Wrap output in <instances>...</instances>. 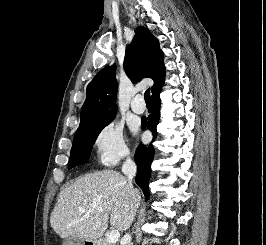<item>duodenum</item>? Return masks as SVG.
Returning a JSON list of instances; mask_svg holds the SVG:
<instances>
[{
  "instance_id": "1",
  "label": "duodenum",
  "mask_w": 266,
  "mask_h": 245,
  "mask_svg": "<svg viewBox=\"0 0 266 245\" xmlns=\"http://www.w3.org/2000/svg\"><path fill=\"white\" fill-rule=\"evenodd\" d=\"M83 242H94V237H83Z\"/></svg>"
}]
</instances>
